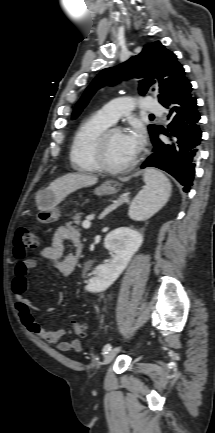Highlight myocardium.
<instances>
[{
    "label": "myocardium",
    "mask_w": 215,
    "mask_h": 433,
    "mask_svg": "<svg viewBox=\"0 0 215 433\" xmlns=\"http://www.w3.org/2000/svg\"><path fill=\"white\" fill-rule=\"evenodd\" d=\"M114 132H123V130L118 126H110L101 133L95 144L94 157L100 170L112 174H119L133 169L137 165L139 159L135 156L130 162L122 166H112L108 162L106 156L107 144L111 134Z\"/></svg>",
    "instance_id": "obj_1"
}]
</instances>
